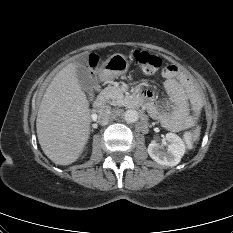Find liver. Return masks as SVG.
I'll use <instances>...</instances> for the list:
<instances>
[{"instance_id":"liver-1","label":"liver","mask_w":233,"mask_h":233,"mask_svg":"<svg viewBox=\"0 0 233 233\" xmlns=\"http://www.w3.org/2000/svg\"><path fill=\"white\" fill-rule=\"evenodd\" d=\"M77 66L71 62L56 74L37 114L39 144L44 154L58 165L75 162L90 134L89 102L78 82Z\"/></svg>"}]
</instances>
